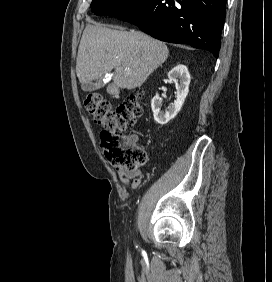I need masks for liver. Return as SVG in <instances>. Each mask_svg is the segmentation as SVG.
<instances>
[{"label": "liver", "mask_w": 272, "mask_h": 282, "mask_svg": "<svg viewBox=\"0 0 272 282\" xmlns=\"http://www.w3.org/2000/svg\"><path fill=\"white\" fill-rule=\"evenodd\" d=\"M168 56L165 43L140 31L89 24L79 44L76 73L83 85L114 69V84L131 90L142 85Z\"/></svg>", "instance_id": "obj_1"}]
</instances>
